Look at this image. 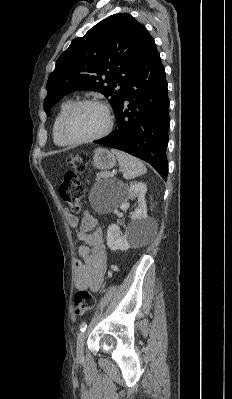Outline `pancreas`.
Instances as JSON below:
<instances>
[{
	"instance_id": "obj_1",
	"label": "pancreas",
	"mask_w": 232,
	"mask_h": 399,
	"mask_svg": "<svg viewBox=\"0 0 232 399\" xmlns=\"http://www.w3.org/2000/svg\"><path fill=\"white\" fill-rule=\"evenodd\" d=\"M105 178H112V176H108L107 172H99L96 180H105Z\"/></svg>"
}]
</instances>
